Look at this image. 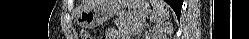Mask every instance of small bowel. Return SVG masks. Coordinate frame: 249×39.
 Instances as JSON below:
<instances>
[{
    "instance_id": "1",
    "label": "small bowel",
    "mask_w": 249,
    "mask_h": 39,
    "mask_svg": "<svg viewBox=\"0 0 249 39\" xmlns=\"http://www.w3.org/2000/svg\"><path fill=\"white\" fill-rule=\"evenodd\" d=\"M101 39H118V34L114 29H108Z\"/></svg>"
}]
</instances>
